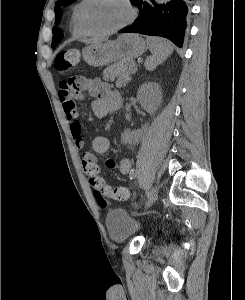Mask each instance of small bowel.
Segmentation results:
<instances>
[{
  "instance_id": "small-bowel-1",
  "label": "small bowel",
  "mask_w": 245,
  "mask_h": 300,
  "mask_svg": "<svg viewBox=\"0 0 245 300\" xmlns=\"http://www.w3.org/2000/svg\"><path fill=\"white\" fill-rule=\"evenodd\" d=\"M80 91H73L66 86V81L61 82L58 92L67 121L70 124V132L79 151L82 166L89 177L97 176L100 173V162L96 154H105L110 150L111 142L104 136H96L92 140L93 152L85 150V140L83 129L78 121V111L75 99L83 100L86 94L92 98L91 111L97 118H103L108 113L119 108L121 98L117 92L111 89L110 85L101 81L99 78H80ZM86 94H85V93ZM105 167L117 169L121 175H128L131 171V162L122 159L116 162L114 159H107Z\"/></svg>"
}]
</instances>
